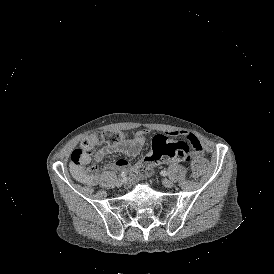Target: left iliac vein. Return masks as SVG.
<instances>
[{
  "instance_id": "left-iliac-vein-1",
  "label": "left iliac vein",
  "mask_w": 274,
  "mask_h": 274,
  "mask_svg": "<svg viewBox=\"0 0 274 274\" xmlns=\"http://www.w3.org/2000/svg\"><path fill=\"white\" fill-rule=\"evenodd\" d=\"M163 184H164L165 187H168V188L172 187L174 185L173 181L168 180V179H164Z\"/></svg>"
}]
</instances>
